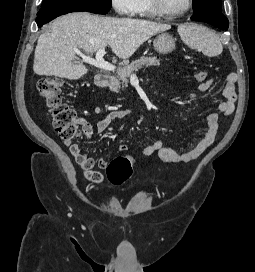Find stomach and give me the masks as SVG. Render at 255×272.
I'll list each match as a JSON object with an SVG mask.
<instances>
[{"instance_id": "0dacf381", "label": "stomach", "mask_w": 255, "mask_h": 272, "mask_svg": "<svg viewBox=\"0 0 255 272\" xmlns=\"http://www.w3.org/2000/svg\"><path fill=\"white\" fill-rule=\"evenodd\" d=\"M154 49L160 54H169L175 49V39L168 33H160L153 41Z\"/></svg>"}]
</instances>
